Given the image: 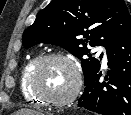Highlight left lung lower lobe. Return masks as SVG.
I'll return each mask as SVG.
<instances>
[{"instance_id": "0a47b994", "label": "left lung lower lobe", "mask_w": 131, "mask_h": 115, "mask_svg": "<svg viewBox=\"0 0 131 115\" xmlns=\"http://www.w3.org/2000/svg\"><path fill=\"white\" fill-rule=\"evenodd\" d=\"M106 81L99 71L85 85L78 106L100 115H131V26L107 50Z\"/></svg>"}]
</instances>
